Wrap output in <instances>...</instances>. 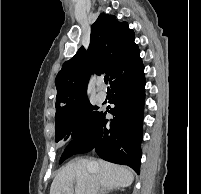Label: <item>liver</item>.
Instances as JSON below:
<instances>
[{"label":"liver","instance_id":"6515ba94","mask_svg":"<svg viewBox=\"0 0 201 194\" xmlns=\"http://www.w3.org/2000/svg\"><path fill=\"white\" fill-rule=\"evenodd\" d=\"M94 174L102 188H124L134 180L133 172L127 167L103 160L77 158L60 169L51 184L50 194H86ZM66 186L69 189L64 191Z\"/></svg>","mask_w":201,"mask_h":194}]
</instances>
